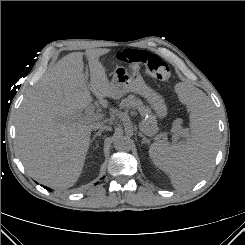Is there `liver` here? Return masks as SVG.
Instances as JSON below:
<instances>
[{
    "label": "liver",
    "mask_w": 245,
    "mask_h": 245,
    "mask_svg": "<svg viewBox=\"0 0 245 245\" xmlns=\"http://www.w3.org/2000/svg\"><path fill=\"white\" fill-rule=\"evenodd\" d=\"M110 49L74 52L48 68L24 98L16 120V147L27 173L39 183L67 189L81 175L90 145L92 126L104 124L90 119L83 110L91 92L107 107L104 99L115 94L99 57ZM83 55L89 64L91 82L84 74Z\"/></svg>",
    "instance_id": "1"
}]
</instances>
